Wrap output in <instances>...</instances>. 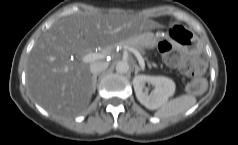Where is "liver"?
<instances>
[{"label": "liver", "instance_id": "obj_1", "mask_svg": "<svg viewBox=\"0 0 238 145\" xmlns=\"http://www.w3.org/2000/svg\"><path fill=\"white\" fill-rule=\"evenodd\" d=\"M158 27L155 21L121 12L78 11L57 20L30 52L26 80L31 95L53 115L83 112L93 94V78L89 64L72 61L70 55L107 48Z\"/></svg>", "mask_w": 238, "mask_h": 145}]
</instances>
